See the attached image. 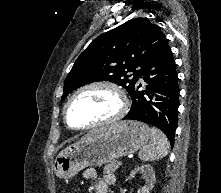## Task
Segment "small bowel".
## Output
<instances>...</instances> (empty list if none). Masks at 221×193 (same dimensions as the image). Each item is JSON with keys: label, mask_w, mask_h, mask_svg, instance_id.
<instances>
[{"label": "small bowel", "mask_w": 221, "mask_h": 193, "mask_svg": "<svg viewBox=\"0 0 221 193\" xmlns=\"http://www.w3.org/2000/svg\"><path fill=\"white\" fill-rule=\"evenodd\" d=\"M83 178L85 180H93L96 178V172L93 169H86L83 172ZM114 182H115V178L112 174L104 175L103 179L95 183L96 193H108L109 186L114 184Z\"/></svg>", "instance_id": "obj_1"}]
</instances>
